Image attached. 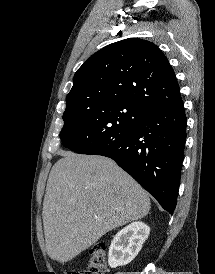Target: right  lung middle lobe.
<instances>
[{"instance_id": "obj_1", "label": "right lung middle lobe", "mask_w": 215, "mask_h": 274, "mask_svg": "<svg viewBox=\"0 0 215 274\" xmlns=\"http://www.w3.org/2000/svg\"><path fill=\"white\" fill-rule=\"evenodd\" d=\"M145 113L135 104L122 101L67 102L60 138L63 146L87 154L129 133Z\"/></svg>"}]
</instances>
